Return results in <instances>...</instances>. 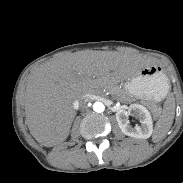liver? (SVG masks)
Instances as JSON below:
<instances>
[{
    "label": "liver",
    "instance_id": "6515ba94",
    "mask_svg": "<svg viewBox=\"0 0 183 183\" xmlns=\"http://www.w3.org/2000/svg\"><path fill=\"white\" fill-rule=\"evenodd\" d=\"M150 65L140 56L112 51H78L54 58L28 76L26 122L43 146L64 142L76 115L73 102L96 88L116 84Z\"/></svg>",
    "mask_w": 183,
    "mask_h": 183
}]
</instances>
